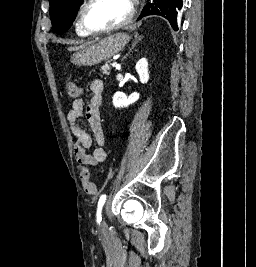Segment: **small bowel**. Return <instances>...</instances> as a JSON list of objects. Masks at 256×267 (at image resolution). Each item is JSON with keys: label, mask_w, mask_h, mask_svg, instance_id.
<instances>
[{"label": "small bowel", "mask_w": 256, "mask_h": 267, "mask_svg": "<svg viewBox=\"0 0 256 267\" xmlns=\"http://www.w3.org/2000/svg\"><path fill=\"white\" fill-rule=\"evenodd\" d=\"M91 92L87 105L79 98L72 102L71 110L67 114V120L72 135L75 138L74 155L80 166L96 165L107 159V152L104 148V134L100 120V106L104 83L101 79L95 78L90 81ZM85 116L89 122L96 147L92 150V137L78 126V121Z\"/></svg>", "instance_id": "c3829d8e"}]
</instances>
